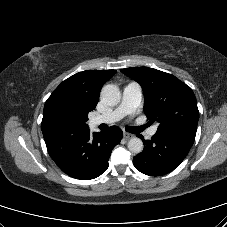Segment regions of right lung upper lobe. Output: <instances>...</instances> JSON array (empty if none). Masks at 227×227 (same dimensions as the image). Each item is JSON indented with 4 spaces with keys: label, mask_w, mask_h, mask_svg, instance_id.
Listing matches in <instances>:
<instances>
[{
    "label": "right lung upper lobe",
    "mask_w": 227,
    "mask_h": 227,
    "mask_svg": "<svg viewBox=\"0 0 227 227\" xmlns=\"http://www.w3.org/2000/svg\"><path fill=\"white\" fill-rule=\"evenodd\" d=\"M116 70H87L64 80L47 99L41 124L44 139L63 133L88 129V113L95 109L102 86ZM65 106L74 111L76 119L70 129H53L48 125V114L55 106Z\"/></svg>",
    "instance_id": "cb5924a9"
}]
</instances>
